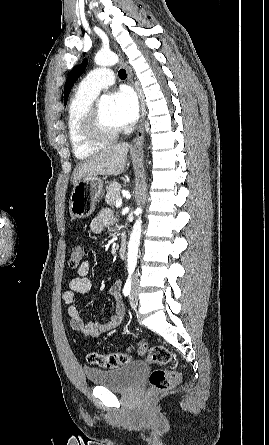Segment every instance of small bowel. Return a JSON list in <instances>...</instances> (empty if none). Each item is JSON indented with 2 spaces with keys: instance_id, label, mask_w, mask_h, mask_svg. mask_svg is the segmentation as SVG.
Masks as SVG:
<instances>
[{
  "instance_id": "c3829d8e",
  "label": "small bowel",
  "mask_w": 269,
  "mask_h": 445,
  "mask_svg": "<svg viewBox=\"0 0 269 445\" xmlns=\"http://www.w3.org/2000/svg\"><path fill=\"white\" fill-rule=\"evenodd\" d=\"M113 223V214L109 209H103L94 217L90 223V230L93 233H100L105 227ZM91 264L83 261L77 267V276L70 279L68 289L62 293V300L67 306L70 326L73 330L88 337H98L120 326L124 320L126 309L122 301V281H115L109 292L115 300V314L105 322L87 323L83 320L78 308L75 306V295L77 293L88 292L92 287V281L88 277Z\"/></svg>"
}]
</instances>
